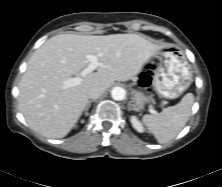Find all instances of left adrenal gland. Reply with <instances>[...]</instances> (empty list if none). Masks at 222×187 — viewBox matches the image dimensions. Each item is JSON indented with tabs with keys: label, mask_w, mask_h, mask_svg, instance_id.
Returning <instances> with one entry per match:
<instances>
[{
	"label": "left adrenal gland",
	"mask_w": 222,
	"mask_h": 187,
	"mask_svg": "<svg viewBox=\"0 0 222 187\" xmlns=\"http://www.w3.org/2000/svg\"><path fill=\"white\" fill-rule=\"evenodd\" d=\"M128 110H129V111L132 110V108L130 107V104H128Z\"/></svg>",
	"instance_id": "1"
}]
</instances>
